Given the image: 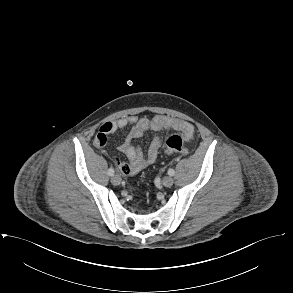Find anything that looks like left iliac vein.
<instances>
[{
    "mask_svg": "<svg viewBox=\"0 0 293 293\" xmlns=\"http://www.w3.org/2000/svg\"><path fill=\"white\" fill-rule=\"evenodd\" d=\"M173 183H174V180L172 177L166 176L163 178V185L165 187H171L173 185Z\"/></svg>",
    "mask_w": 293,
    "mask_h": 293,
    "instance_id": "left-iliac-vein-1",
    "label": "left iliac vein"
}]
</instances>
